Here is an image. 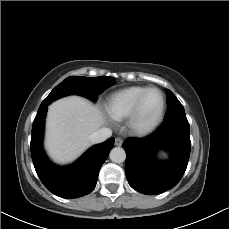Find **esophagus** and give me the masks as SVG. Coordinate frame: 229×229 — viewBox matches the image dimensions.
<instances>
[{
  "label": "esophagus",
  "mask_w": 229,
  "mask_h": 229,
  "mask_svg": "<svg viewBox=\"0 0 229 229\" xmlns=\"http://www.w3.org/2000/svg\"><path fill=\"white\" fill-rule=\"evenodd\" d=\"M123 144V140L121 138H116L115 139V145L116 146H121Z\"/></svg>",
  "instance_id": "obj_1"
}]
</instances>
